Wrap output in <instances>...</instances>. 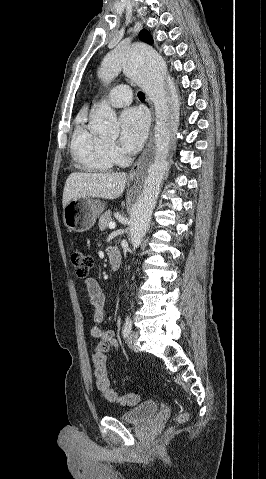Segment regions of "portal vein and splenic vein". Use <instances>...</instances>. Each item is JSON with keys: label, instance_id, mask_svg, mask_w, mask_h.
<instances>
[{"label": "portal vein and splenic vein", "instance_id": "1", "mask_svg": "<svg viewBox=\"0 0 266 479\" xmlns=\"http://www.w3.org/2000/svg\"><path fill=\"white\" fill-rule=\"evenodd\" d=\"M108 227H109L110 229H114V228L116 227L115 222H110V223L108 224Z\"/></svg>", "mask_w": 266, "mask_h": 479}]
</instances>
